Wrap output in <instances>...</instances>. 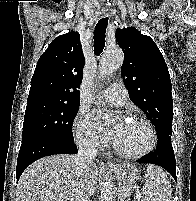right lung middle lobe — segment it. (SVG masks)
I'll use <instances>...</instances> for the list:
<instances>
[{"label": "right lung middle lobe", "instance_id": "1", "mask_svg": "<svg viewBox=\"0 0 196 201\" xmlns=\"http://www.w3.org/2000/svg\"><path fill=\"white\" fill-rule=\"evenodd\" d=\"M80 102L64 103L46 99L27 100L22 140L44 135L72 141V122Z\"/></svg>", "mask_w": 196, "mask_h": 201}]
</instances>
